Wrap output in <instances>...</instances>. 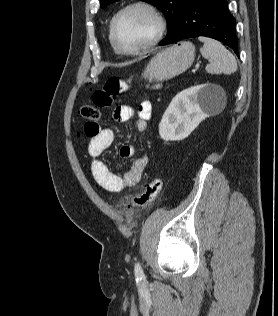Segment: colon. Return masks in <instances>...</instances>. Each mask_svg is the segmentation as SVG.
I'll list each match as a JSON object with an SVG mask.
<instances>
[{
  "instance_id": "1",
  "label": "colon",
  "mask_w": 278,
  "mask_h": 316,
  "mask_svg": "<svg viewBox=\"0 0 278 316\" xmlns=\"http://www.w3.org/2000/svg\"><path fill=\"white\" fill-rule=\"evenodd\" d=\"M129 88L128 84L117 78H108L103 87L93 93L92 105H83L78 110V118L85 122L84 133L93 136L99 130L100 109L114 104L116 97ZM162 182L159 178H152L144 190L130 200L129 206L133 208H146L151 206L160 196Z\"/></svg>"
}]
</instances>
